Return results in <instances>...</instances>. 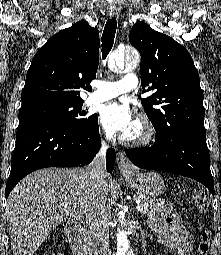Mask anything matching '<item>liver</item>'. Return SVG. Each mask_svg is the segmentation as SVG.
<instances>
[{
	"mask_svg": "<svg viewBox=\"0 0 221 255\" xmlns=\"http://www.w3.org/2000/svg\"><path fill=\"white\" fill-rule=\"evenodd\" d=\"M110 177L90 179L89 167L47 168L23 178L6 206L14 255H33L51 231L68 217L86 214L92 200L106 202Z\"/></svg>",
	"mask_w": 221,
	"mask_h": 255,
	"instance_id": "liver-1",
	"label": "liver"
}]
</instances>
